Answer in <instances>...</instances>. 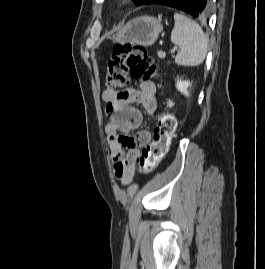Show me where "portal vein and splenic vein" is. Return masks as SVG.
<instances>
[{
	"instance_id": "18ae733b",
	"label": "portal vein and splenic vein",
	"mask_w": 265,
	"mask_h": 269,
	"mask_svg": "<svg viewBox=\"0 0 265 269\" xmlns=\"http://www.w3.org/2000/svg\"><path fill=\"white\" fill-rule=\"evenodd\" d=\"M177 50H178L177 47H174L173 49H171V52L174 53Z\"/></svg>"
}]
</instances>
